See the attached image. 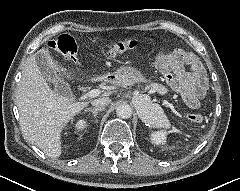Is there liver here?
Returning a JSON list of instances; mask_svg holds the SVG:
<instances>
[{"mask_svg": "<svg viewBox=\"0 0 240 191\" xmlns=\"http://www.w3.org/2000/svg\"><path fill=\"white\" fill-rule=\"evenodd\" d=\"M38 53L46 56L53 67H59L71 79L73 73L58 65L48 49L42 48ZM112 94L111 91L104 92L100 97H109ZM15 99L24 137L51 158H57L62 153L63 127L91 102H73L72 95L64 96L52 90L36 64V54L29 57L23 67Z\"/></svg>", "mask_w": 240, "mask_h": 191, "instance_id": "1", "label": "liver"}]
</instances>
